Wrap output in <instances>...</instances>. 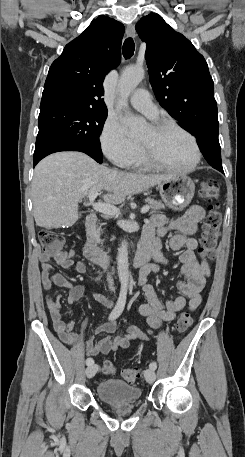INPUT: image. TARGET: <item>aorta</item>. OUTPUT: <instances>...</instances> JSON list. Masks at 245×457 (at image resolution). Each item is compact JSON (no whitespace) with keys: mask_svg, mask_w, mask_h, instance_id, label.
Returning a JSON list of instances; mask_svg holds the SVG:
<instances>
[{"mask_svg":"<svg viewBox=\"0 0 245 457\" xmlns=\"http://www.w3.org/2000/svg\"><path fill=\"white\" fill-rule=\"evenodd\" d=\"M144 77V69L140 66L127 67L119 80L118 92L119 101L118 105L126 108L128 106V97L132 91L138 86ZM123 123L132 134L141 133L146 128V121L134 116L130 112H125ZM117 268L118 276L122 286H127L129 283V263H128V244L123 241L118 249L117 255Z\"/></svg>","mask_w":245,"mask_h":457,"instance_id":"aorta-1","label":"aorta"}]
</instances>
